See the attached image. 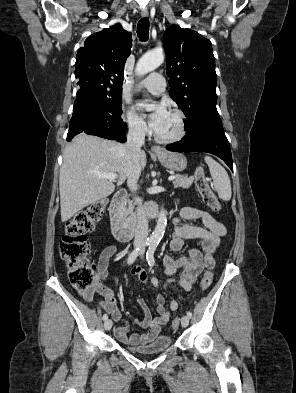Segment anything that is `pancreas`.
Segmentation results:
<instances>
[{
    "mask_svg": "<svg viewBox=\"0 0 296 393\" xmlns=\"http://www.w3.org/2000/svg\"><path fill=\"white\" fill-rule=\"evenodd\" d=\"M194 181L193 177H187L183 175L176 176V179L173 181L174 188L182 187L188 189ZM134 206L131 201L124 205L123 215L126 218L127 222H134L136 219V215L134 213Z\"/></svg>",
    "mask_w": 296,
    "mask_h": 393,
    "instance_id": "1",
    "label": "pancreas"
}]
</instances>
